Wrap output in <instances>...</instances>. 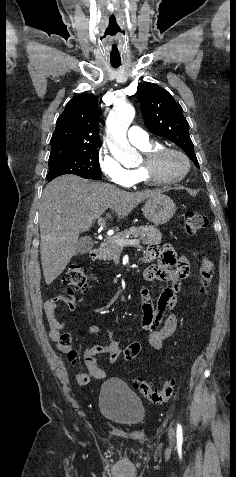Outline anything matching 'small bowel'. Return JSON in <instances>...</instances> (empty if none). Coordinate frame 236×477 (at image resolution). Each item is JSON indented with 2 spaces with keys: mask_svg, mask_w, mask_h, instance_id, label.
Masks as SVG:
<instances>
[{
  "mask_svg": "<svg viewBox=\"0 0 236 477\" xmlns=\"http://www.w3.org/2000/svg\"><path fill=\"white\" fill-rule=\"evenodd\" d=\"M154 260L157 262L146 268L144 278L147 281L165 282L167 286L161 290L156 301L152 300L146 289L142 290L141 325L148 334L149 346L159 350L162 348L163 342L175 332L177 327L178 320L175 314H170L165 319L164 317L178 303V294L181 291L180 280L186 277L189 271V261L185 257H178L169 245L163 247L150 245L146 250L144 261L151 262ZM184 260L188 267L186 274L177 271V265ZM60 304H64L69 310H74L77 308L78 302L72 296L58 295L46 300L43 306L49 323L50 338L60 350L67 352L69 346L60 341L63 329V323L58 313ZM87 333L104 342L85 349L84 361L88 373H78L76 375V381L80 385L87 384L90 378L103 379L106 377V371L99 366L96 360L97 355H107L111 363H116L122 353L112 329L104 331L98 325H90L87 327Z\"/></svg>",
  "mask_w": 236,
  "mask_h": 477,
  "instance_id": "small-bowel-1",
  "label": "small bowel"
}]
</instances>
